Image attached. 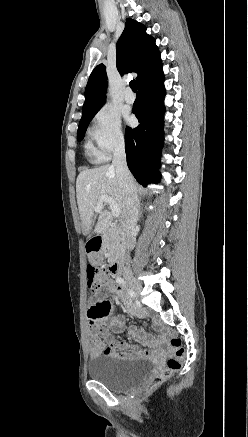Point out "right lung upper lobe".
I'll return each mask as SVG.
<instances>
[{
  "instance_id": "right-lung-upper-lobe-1",
  "label": "right lung upper lobe",
  "mask_w": 248,
  "mask_h": 437,
  "mask_svg": "<svg viewBox=\"0 0 248 437\" xmlns=\"http://www.w3.org/2000/svg\"><path fill=\"white\" fill-rule=\"evenodd\" d=\"M116 66L121 75L135 72L137 84L161 63L155 39L146 33V27L130 18L116 44ZM107 74L99 64L92 71L86 89L81 120L94 116L105 103ZM80 120V121H81Z\"/></svg>"
}]
</instances>
